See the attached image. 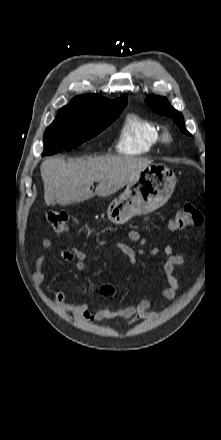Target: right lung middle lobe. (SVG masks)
I'll use <instances>...</instances> for the list:
<instances>
[{"instance_id": "1", "label": "right lung middle lobe", "mask_w": 221, "mask_h": 440, "mask_svg": "<svg viewBox=\"0 0 221 440\" xmlns=\"http://www.w3.org/2000/svg\"><path fill=\"white\" fill-rule=\"evenodd\" d=\"M121 108L92 110L60 109L57 118L44 133V155L75 148L95 137L122 112Z\"/></svg>"}]
</instances>
